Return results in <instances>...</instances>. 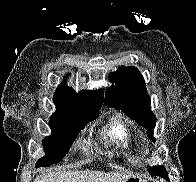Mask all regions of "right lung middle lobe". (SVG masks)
<instances>
[{
	"mask_svg": "<svg viewBox=\"0 0 196 182\" xmlns=\"http://www.w3.org/2000/svg\"><path fill=\"white\" fill-rule=\"evenodd\" d=\"M99 111L91 116H77L66 113H54L49 121L52 133L43 140L46 155L39 159L36 167H47L58 163L69 151L74 139L84 126L95 119Z\"/></svg>",
	"mask_w": 196,
	"mask_h": 182,
	"instance_id": "obj_1",
	"label": "right lung middle lobe"
}]
</instances>
